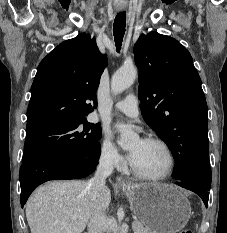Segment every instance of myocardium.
Listing matches in <instances>:
<instances>
[{"label": "myocardium", "mask_w": 227, "mask_h": 233, "mask_svg": "<svg viewBox=\"0 0 227 233\" xmlns=\"http://www.w3.org/2000/svg\"><path fill=\"white\" fill-rule=\"evenodd\" d=\"M142 141L144 142H148V143H155L160 145L167 153L168 158H169V165L168 168L166 169L165 172H163L162 174H158V175H150V174H146L143 173L141 171H139L130 161H128V166L130 171L132 172V174H134L136 177L144 179V180H149V181H159V180H163L168 178L174 171L175 169V165H176V158L175 155L171 149V147L169 146V144L164 141L161 138L158 137H153V136H149V137H145L142 139Z\"/></svg>", "instance_id": "1"}]
</instances>
